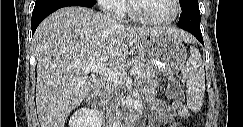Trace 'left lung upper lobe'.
I'll use <instances>...</instances> for the list:
<instances>
[{
  "mask_svg": "<svg viewBox=\"0 0 243 127\" xmlns=\"http://www.w3.org/2000/svg\"><path fill=\"white\" fill-rule=\"evenodd\" d=\"M182 7L198 4V0H179Z\"/></svg>",
  "mask_w": 243,
  "mask_h": 127,
  "instance_id": "1",
  "label": "left lung upper lobe"
}]
</instances>
